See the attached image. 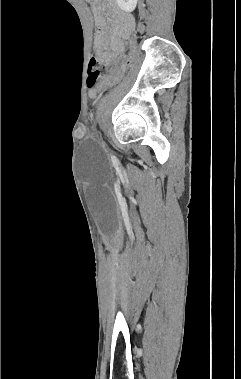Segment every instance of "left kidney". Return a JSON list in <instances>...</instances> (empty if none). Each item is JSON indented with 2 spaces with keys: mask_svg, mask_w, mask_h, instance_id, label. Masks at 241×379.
Returning <instances> with one entry per match:
<instances>
[{
  "mask_svg": "<svg viewBox=\"0 0 241 379\" xmlns=\"http://www.w3.org/2000/svg\"><path fill=\"white\" fill-rule=\"evenodd\" d=\"M118 6L125 12H132L137 5L138 0H116Z\"/></svg>",
  "mask_w": 241,
  "mask_h": 379,
  "instance_id": "left-kidney-1",
  "label": "left kidney"
}]
</instances>
